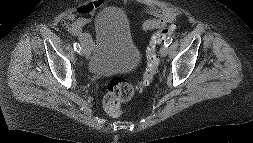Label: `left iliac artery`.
I'll return each mask as SVG.
<instances>
[{
	"instance_id": "1",
	"label": "left iliac artery",
	"mask_w": 253,
	"mask_h": 143,
	"mask_svg": "<svg viewBox=\"0 0 253 143\" xmlns=\"http://www.w3.org/2000/svg\"><path fill=\"white\" fill-rule=\"evenodd\" d=\"M172 40H173L172 38H169V37H168V38L164 41V46H165V47H168V46L172 43Z\"/></svg>"
}]
</instances>
